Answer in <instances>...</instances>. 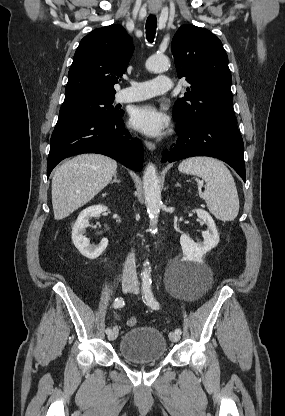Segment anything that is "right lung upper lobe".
I'll return each mask as SVG.
<instances>
[{
	"label": "right lung upper lobe",
	"mask_w": 285,
	"mask_h": 416,
	"mask_svg": "<svg viewBox=\"0 0 285 416\" xmlns=\"http://www.w3.org/2000/svg\"><path fill=\"white\" fill-rule=\"evenodd\" d=\"M132 42L121 25L98 28L85 36L69 69L65 99L114 97V84L133 54Z\"/></svg>",
	"instance_id": "obj_1"
}]
</instances>
